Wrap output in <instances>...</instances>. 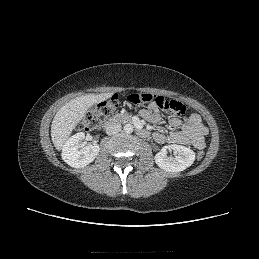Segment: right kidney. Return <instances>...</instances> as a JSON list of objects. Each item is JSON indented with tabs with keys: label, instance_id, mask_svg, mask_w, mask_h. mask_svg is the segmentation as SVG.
<instances>
[{
	"label": "right kidney",
	"instance_id": "1",
	"mask_svg": "<svg viewBox=\"0 0 259 259\" xmlns=\"http://www.w3.org/2000/svg\"><path fill=\"white\" fill-rule=\"evenodd\" d=\"M84 140V132L76 133L66 141L62 148V159L71 167H84L91 163L99 153L98 144L85 146Z\"/></svg>",
	"mask_w": 259,
	"mask_h": 259
}]
</instances>
